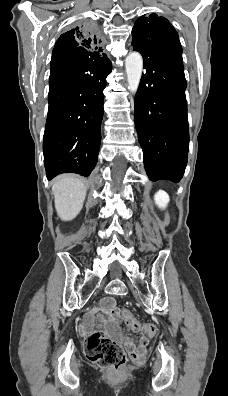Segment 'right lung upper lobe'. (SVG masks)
<instances>
[{
	"label": "right lung upper lobe",
	"instance_id": "obj_1",
	"mask_svg": "<svg viewBox=\"0 0 228 396\" xmlns=\"http://www.w3.org/2000/svg\"><path fill=\"white\" fill-rule=\"evenodd\" d=\"M99 37L87 27L77 26L62 34L53 49V56L66 55L73 51L103 54Z\"/></svg>",
	"mask_w": 228,
	"mask_h": 396
}]
</instances>
